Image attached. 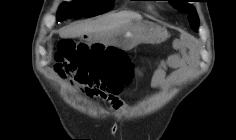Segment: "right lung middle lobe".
Instances as JSON below:
<instances>
[{
  "label": "right lung middle lobe",
  "instance_id": "1",
  "mask_svg": "<svg viewBox=\"0 0 236 140\" xmlns=\"http://www.w3.org/2000/svg\"><path fill=\"white\" fill-rule=\"evenodd\" d=\"M113 0H75L64 2L57 12V21L99 15L112 8Z\"/></svg>",
  "mask_w": 236,
  "mask_h": 140
}]
</instances>
